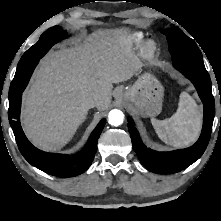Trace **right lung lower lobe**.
<instances>
[{
  "label": "right lung lower lobe",
  "mask_w": 221,
  "mask_h": 221,
  "mask_svg": "<svg viewBox=\"0 0 221 221\" xmlns=\"http://www.w3.org/2000/svg\"><path fill=\"white\" fill-rule=\"evenodd\" d=\"M44 56V55H43ZM42 55L38 57H30L34 61L29 70V76L24 84L20 87L18 94L9 98V122L13 129L18 148L23 157L36 168L58 177H73L86 171L92 163L96 149L98 138L104 128L105 119H102L94 131L91 133L88 142L84 148L74 155H63L43 152L35 148L25 137L20 125V108L22 92L25 89L31 74L38 64ZM19 62L30 63L28 57L22 56Z\"/></svg>",
  "instance_id": "right-lung-lower-lobe-1"
}]
</instances>
